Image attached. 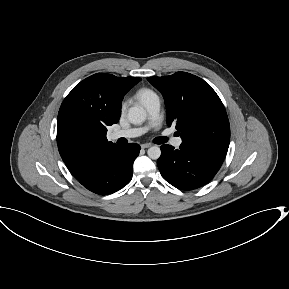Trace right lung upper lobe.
Wrapping results in <instances>:
<instances>
[{
	"instance_id": "1",
	"label": "right lung upper lobe",
	"mask_w": 289,
	"mask_h": 289,
	"mask_svg": "<svg viewBox=\"0 0 289 289\" xmlns=\"http://www.w3.org/2000/svg\"><path fill=\"white\" fill-rule=\"evenodd\" d=\"M141 78L97 73L66 96L57 118V144L62 160L77 178L109 150L107 126L118 122L125 93Z\"/></svg>"
}]
</instances>
